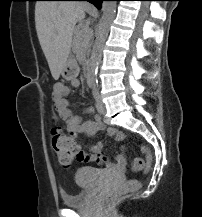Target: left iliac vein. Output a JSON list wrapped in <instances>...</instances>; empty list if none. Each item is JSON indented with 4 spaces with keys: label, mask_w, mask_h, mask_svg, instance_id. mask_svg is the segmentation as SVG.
<instances>
[{
    "label": "left iliac vein",
    "mask_w": 202,
    "mask_h": 217,
    "mask_svg": "<svg viewBox=\"0 0 202 217\" xmlns=\"http://www.w3.org/2000/svg\"><path fill=\"white\" fill-rule=\"evenodd\" d=\"M96 108L100 114H104L106 112L105 104L102 102L100 95L96 98Z\"/></svg>",
    "instance_id": "left-iliac-vein-1"
}]
</instances>
